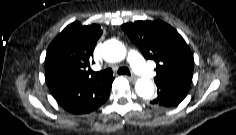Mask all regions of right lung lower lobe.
I'll return each mask as SVG.
<instances>
[{"mask_svg": "<svg viewBox=\"0 0 236 135\" xmlns=\"http://www.w3.org/2000/svg\"><path fill=\"white\" fill-rule=\"evenodd\" d=\"M114 78L97 79L89 82H58L49 89L66 111L75 114H87L104 104L110 94Z\"/></svg>", "mask_w": 236, "mask_h": 135, "instance_id": "1", "label": "right lung lower lobe"}]
</instances>
